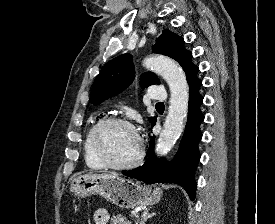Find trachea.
Masks as SVG:
<instances>
[{
    "label": "trachea",
    "instance_id": "3493384b",
    "mask_svg": "<svg viewBox=\"0 0 275 224\" xmlns=\"http://www.w3.org/2000/svg\"><path fill=\"white\" fill-rule=\"evenodd\" d=\"M157 106H164V104L162 102H159L156 104Z\"/></svg>",
    "mask_w": 275,
    "mask_h": 224
}]
</instances>
